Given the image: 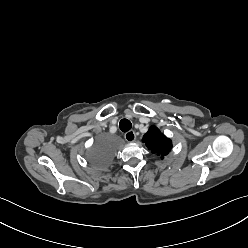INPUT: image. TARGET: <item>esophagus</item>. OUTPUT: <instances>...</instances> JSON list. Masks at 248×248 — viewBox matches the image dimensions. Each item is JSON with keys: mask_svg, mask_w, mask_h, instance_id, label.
Returning a JSON list of instances; mask_svg holds the SVG:
<instances>
[{"mask_svg": "<svg viewBox=\"0 0 248 248\" xmlns=\"http://www.w3.org/2000/svg\"><path fill=\"white\" fill-rule=\"evenodd\" d=\"M124 137H125L126 141H128V142H134L136 140V134L132 130L126 132Z\"/></svg>", "mask_w": 248, "mask_h": 248, "instance_id": "1", "label": "esophagus"}]
</instances>
